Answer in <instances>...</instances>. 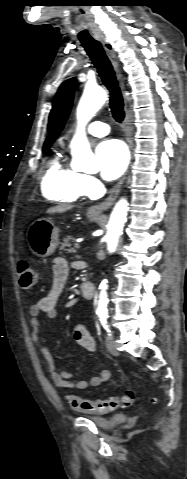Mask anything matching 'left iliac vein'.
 Masks as SVG:
<instances>
[{
    "instance_id": "1",
    "label": "left iliac vein",
    "mask_w": 187,
    "mask_h": 479,
    "mask_svg": "<svg viewBox=\"0 0 187 479\" xmlns=\"http://www.w3.org/2000/svg\"><path fill=\"white\" fill-rule=\"evenodd\" d=\"M106 346H107V349L109 350V352L111 354H113L114 356H117L119 354L118 349H117V344L111 336H107Z\"/></svg>"
}]
</instances>
